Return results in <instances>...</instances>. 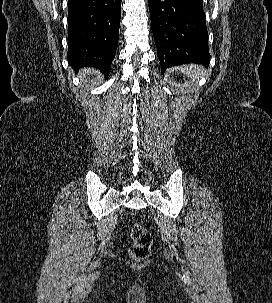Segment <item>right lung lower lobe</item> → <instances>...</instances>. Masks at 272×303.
<instances>
[{
    "label": "right lung lower lobe",
    "mask_w": 272,
    "mask_h": 303,
    "mask_svg": "<svg viewBox=\"0 0 272 303\" xmlns=\"http://www.w3.org/2000/svg\"><path fill=\"white\" fill-rule=\"evenodd\" d=\"M121 0H68V62L110 73L119 37Z\"/></svg>",
    "instance_id": "1"
}]
</instances>
